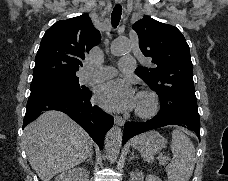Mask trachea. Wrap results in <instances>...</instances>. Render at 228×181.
I'll list each match as a JSON object with an SVG mask.
<instances>
[{"instance_id":"1","label":"trachea","mask_w":228,"mask_h":181,"mask_svg":"<svg viewBox=\"0 0 228 181\" xmlns=\"http://www.w3.org/2000/svg\"><path fill=\"white\" fill-rule=\"evenodd\" d=\"M122 7L120 4L115 5L111 14L112 27L116 28L119 25L121 19Z\"/></svg>"}]
</instances>
